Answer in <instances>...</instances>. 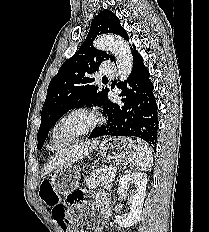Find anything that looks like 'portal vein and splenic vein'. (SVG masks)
Instances as JSON below:
<instances>
[{"mask_svg":"<svg viewBox=\"0 0 209 232\" xmlns=\"http://www.w3.org/2000/svg\"><path fill=\"white\" fill-rule=\"evenodd\" d=\"M114 172H116V169L114 168L113 170H111L110 172H109V174L111 175V176H113V173Z\"/></svg>","mask_w":209,"mask_h":232,"instance_id":"1","label":"portal vein and splenic vein"}]
</instances>
